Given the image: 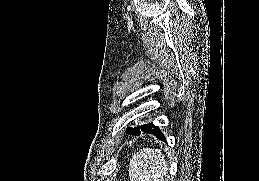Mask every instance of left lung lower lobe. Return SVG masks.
I'll use <instances>...</instances> for the list:
<instances>
[{"mask_svg": "<svg viewBox=\"0 0 259 181\" xmlns=\"http://www.w3.org/2000/svg\"><path fill=\"white\" fill-rule=\"evenodd\" d=\"M142 132L143 133L153 134L158 139L166 141V139H165L163 133L161 132V130L157 126H155L154 124H151L146 130H144ZM139 134H136V135H139Z\"/></svg>", "mask_w": 259, "mask_h": 181, "instance_id": "obj_1", "label": "left lung lower lobe"}]
</instances>
